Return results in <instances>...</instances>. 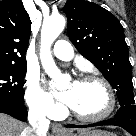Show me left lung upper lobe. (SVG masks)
Returning <instances> with one entry per match:
<instances>
[{
  "instance_id": "obj_1",
  "label": "left lung upper lobe",
  "mask_w": 136,
  "mask_h": 136,
  "mask_svg": "<svg viewBox=\"0 0 136 136\" xmlns=\"http://www.w3.org/2000/svg\"><path fill=\"white\" fill-rule=\"evenodd\" d=\"M63 11L68 19V36L77 50L117 90L121 107L135 105L128 47L118 19L101 6L84 0H68Z\"/></svg>"
}]
</instances>
